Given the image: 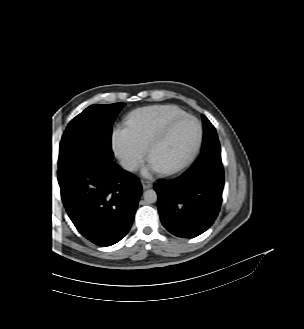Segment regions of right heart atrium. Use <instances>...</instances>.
Here are the masks:
<instances>
[{"label":"right heart atrium","mask_w":304,"mask_h":329,"mask_svg":"<svg viewBox=\"0 0 304 329\" xmlns=\"http://www.w3.org/2000/svg\"><path fill=\"white\" fill-rule=\"evenodd\" d=\"M116 155L130 168H137L144 162L143 150L140 149L126 129H116L112 137Z\"/></svg>","instance_id":"1"}]
</instances>
